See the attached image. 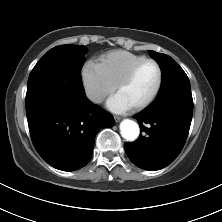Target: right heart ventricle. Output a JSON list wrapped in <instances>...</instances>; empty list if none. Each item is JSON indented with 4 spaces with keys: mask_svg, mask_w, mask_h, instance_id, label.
Listing matches in <instances>:
<instances>
[{
    "mask_svg": "<svg viewBox=\"0 0 222 222\" xmlns=\"http://www.w3.org/2000/svg\"><path fill=\"white\" fill-rule=\"evenodd\" d=\"M146 59L125 50L111 51L99 59V66L105 76L115 85L136 63Z\"/></svg>",
    "mask_w": 222,
    "mask_h": 222,
    "instance_id": "right-heart-ventricle-1",
    "label": "right heart ventricle"
}]
</instances>
